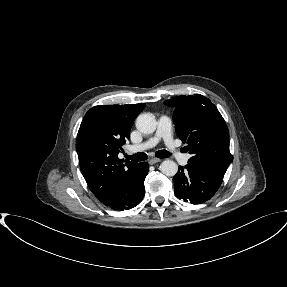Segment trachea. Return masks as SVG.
Listing matches in <instances>:
<instances>
[{"label":"trachea","mask_w":287,"mask_h":287,"mask_svg":"<svg viewBox=\"0 0 287 287\" xmlns=\"http://www.w3.org/2000/svg\"><path fill=\"white\" fill-rule=\"evenodd\" d=\"M169 156H170V154L166 150H160V151L156 152V157H158V158H167ZM125 157L127 160H132V161H136V162L137 161H144L148 158L145 153H136L132 156L125 154Z\"/></svg>","instance_id":"obj_1"}]
</instances>
